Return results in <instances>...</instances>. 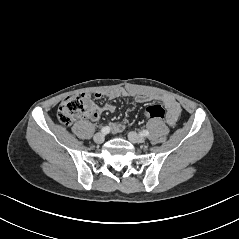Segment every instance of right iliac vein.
<instances>
[{"instance_id":"right-iliac-vein-1","label":"right iliac vein","mask_w":239,"mask_h":239,"mask_svg":"<svg viewBox=\"0 0 239 239\" xmlns=\"http://www.w3.org/2000/svg\"><path fill=\"white\" fill-rule=\"evenodd\" d=\"M93 139H94L95 143L101 144L105 140V135L103 133H97V134H95Z\"/></svg>"}]
</instances>
